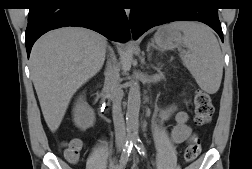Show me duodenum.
I'll return each mask as SVG.
<instances>
[{"label": "duodenum", "instance_id": "duodenum-1", "mask_svg": "<svg viewBox=\"0 0 252 169\" xmlns=\"http://www.w3.org/2000/svg\"><path fill=\"white\" fill-rule=\"evenodd\" d=\"M106 96H103V101H105Z\"/></svg>", "mask_w": 252, "mask_h": 169}]
</instances>
